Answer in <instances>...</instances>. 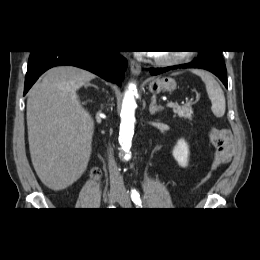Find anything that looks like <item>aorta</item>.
I'll return each mask as SVG.
<instances>
[{
    "label": "aorta",
    "mask_w": 260,
    "mask_h": 260,
    "mask_svg": "<svg viewBox=\"0 0 260 260\" xmlns=\"http://www.w3.org/2000/svg\"><path fill=\"white\" fill-rule=\"evenodd\" d=\"M137 89L135 84H130L128 90L124 94L122 108H121V123L119 130V142L126 153L124 158L129 160L131 158L130 147L131 141L134 135V123H135V109L136 101L134 95Z\"/></svg>",
    "instance_id": "762f6f07"
}]
</instances>
